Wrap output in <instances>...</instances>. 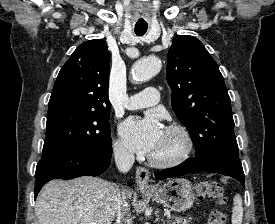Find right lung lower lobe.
Instances as JSON below:
<instances>
[{
	"mask_svg": "<svg viewBox=\"0 0 275 224\" xmlns=\"http://www.w3.org/2000/svg\"><path fill=\"white\" fill-rule=\"evenodd\" d=\"M111 155V141L97 147L44 151L36 167L34 198L52 179H73L103 173L110 164Z\"/></svg>",
	"mask_w": 275,
	"mask_h": 224,
	"instance_id": "obj_1",
	"label": "right lung lower lobe"
}]
</instances>
